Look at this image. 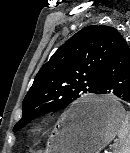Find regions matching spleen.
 <instances>
[{
	"mask_svg": "<svg viewBox=\"0 0 130 153\" xmlns=\"http://www.w3.org/2000/svg\"><path fill=\"white\" fill-rule=\"evenodd\" d=\"M119 142L115 146L114 153H130V112H127L124 121L118 130Z\"/></svg>",
	"mask_w": 130,
	"mask_h": 153,
	"instance_id": "spleen-1",
	"label": "spleen"
}]
</instances>
